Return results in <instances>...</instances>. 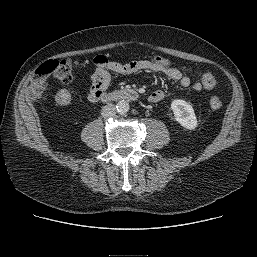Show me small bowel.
Listing matches in <instances>:
<instances>
[{
	"instance_id": "1",
	"label": "small bowel",
	"mask_w": 257,
	"mask_h": 257,
	"mask_svg": "<svg viewBox=\"0 0 257 257\" xmlns=\"http://www.w3.org/2000/svg\"><path fill=\"white\" fill-rule=\"evenodd\" d=\"M96 66L91 75V86L88 90V97L91 101H97L103 92L108 88L111 75L110 72L130 75L141 71L163 73L167 79L182 88H191L194 91H200L203 85L200 81L192 82L191 79L184 75L179 69L171 66H163L152 60H136L123 64L119 62L108 61L104 56H98L94 59ZM165 98L162 90H156L149 95V102L158 103Z\"/></svg>"
}]
</instances>
